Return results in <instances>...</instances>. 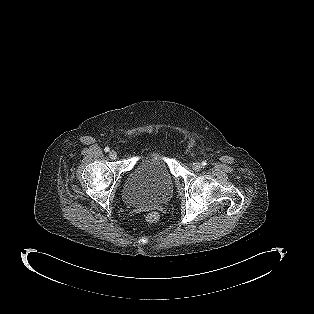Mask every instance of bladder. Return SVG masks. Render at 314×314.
<instances>
[{
    "mask_svg": "<svg viewBox=\"0 0 314 314\" xmlns=\"http://www.w3.org/2000/svg\"><path fill=\"white\" fill-rule=\"evenodd\" d=\"M174 181L166 152L150 151L126 179L122 198L129 207H155L165 204L173 194Z\"/></svg>",
    "mask_w": 314,
    "mask_h": 314,
    "instance_id": "obj_1",
    "label": "bladder"
}]
</instances>
